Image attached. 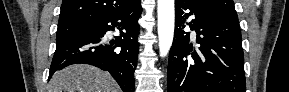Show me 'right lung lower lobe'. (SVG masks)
Wrapping results in <instances>:
<instances>
[{
  "mask_svg": "<svg viewBox=\"0 0 289 92\" xmlns=\"http://www.w3.org/2000/svg\"><path fill=\"white\" fill-rule=\"evenodd\" d=\"M140 3L141 0H136L123 10L94 19L80 32L57 41L49 79L55 71L66 66L85 63L108 71L124 92H134ZM115 28L120 30V36L109 41L105 34Z\"/></svg>",
  "mask_w": 289,
  "mask_h": 92,
  "instance_id": "obj_1",
  "label": "right lung lower lobe"
}]
</instances>
